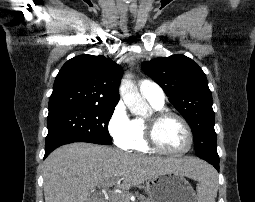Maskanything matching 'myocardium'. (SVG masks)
<instances>
[{
  "label": "myocardium",
  "mask_w": 255,
  "mask_h": 202,
  "mask_svg": "<svg viewBox=\"0 0 255 202\" xmlns=\"http://www.w3.org/2000/svg\"><path fill=\"white\" fill-rule=\"evenodd\" d=\"M168 118H174L177 119L185 128L187 137H188V143L187 146L180 150V151H168L163 149L157 140V128L161 122ZM144 137L146 144L151 149V151H154L159 154L163 155H169V156H181L186 154L193 145L194 137L192 129L189 125V123L186 121L184 117L181 115L168 111V110H155L153 111L145 120H144Z\"/></svg>",
  "instance_id": "1"
}]
</instances>
